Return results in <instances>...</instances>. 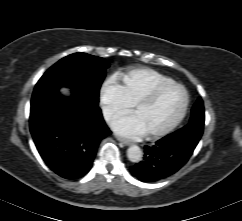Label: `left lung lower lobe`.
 Returning a JSON list of instances; mask_svg holds the SVG:
<instances>
[{
  "label": "left lung lower lobe",
  "mask_w": 242,
  "mask_h": 221,
  "mask_svg": "<svg viewBox=\"0 0 242 221\" xmlns=\"http://www.w3.org/2000/svg\"><path fill=\"white\" fill-rule=\"evenodd\" d=\"M202 133L194 129H180L145 146L143 160L130 168L142 182H155L177 172L190 158Z\"/></svg>",
  "instance_id": "1"
}]
</instances>
